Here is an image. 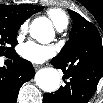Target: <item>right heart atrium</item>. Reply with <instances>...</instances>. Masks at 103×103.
Listing matches in <instances>:
<instances>
[{
  "label": "right heart atrium",
  "instance_id": "right-heart-atrium-1",
  "mask_svg": "<svg viewBox=\"0 0 103 103\" xmlns=\"http://www.w3.org/2000/svg\"><path fill=\"white\" fill-rule=\"evenodd\" d=\"M26 30V24H22L19 29V34L21 35Z\"/></svg>",
  "mask_w": 103,
  "mask_h": 103
}]
</instances>
